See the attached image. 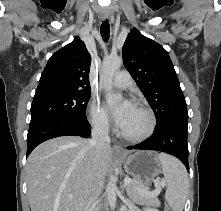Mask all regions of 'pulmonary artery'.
<instances>
[{"instance_id":"pulmonary-artery-1","label":"pulmonary artery","mask_w":221,"mask_h":211,"mask_svg":"<svg viewBox=\"0 0 221 211\" xmlns=\"http://www.w3.org/2000/svg\"><path fill=\"white\" fill-rule=\"evenodd\" d=\"M115 87L118 88H128L132 85V78L128 71H118L112 80Z\"/></svg>"}]
</instances>
